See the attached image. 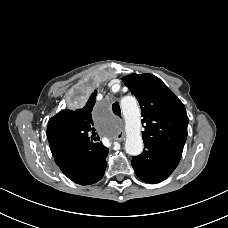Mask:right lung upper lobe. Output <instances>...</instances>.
Masks as SVG:
<instances>
[{
	"mask_svg": "<svg viewBox=\"0 0 228 228\" xmlns=\"http://www.w3.org/2000/svg\"><path fill=\"white\" fill-rule=\"evenodd\" d=\"M97 90L90 95L83 107L63 110L53 116L47 126V138L50 148L70 146L76 143H99V136L94 128L92 110Z\"/></svg>",
	"mask_w": 228,
	"mask_h": 228,
	"instance_id": "1",
	"label": "right lung upper lobe"
}]
</instances>
